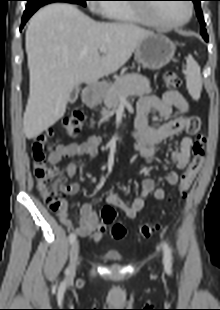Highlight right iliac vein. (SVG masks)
Segmentation results:
<instances>
[{
	"mask_svg": "<svg viewBox=\"0 0 220 310\" xmlns=\"http://www.w3.org/2000/svg\"><path fill=\"white\" fill-rule=\"evenodd\" d=\"M79 263V243L75 240L70 250V263L66 271L68 278H73L76 274L77 265Z\"/></svg>",
	"mask_w": 220,
	"mask_h": 310,
	"instance_id": "obj_1",
	"label": "right iliac vein"
}]
</instances>
